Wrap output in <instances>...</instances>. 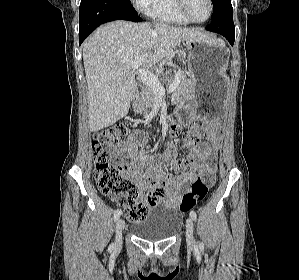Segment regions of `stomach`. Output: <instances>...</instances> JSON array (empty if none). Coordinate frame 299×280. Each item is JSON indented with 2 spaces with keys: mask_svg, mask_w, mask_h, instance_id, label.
<instances>
[{
  "mask_svg": "<svg viewBox=\"0 0 299 280\" xmlns=\"http://www.w3.org/2000/svg\"><path fill=\"white\" fill-rule=\"evenodd\" d=\"M188 92L190 110L187 118L221 116L225 112L226 79L229 50L224 42L214 37L187 40Z\"/></svg>",
  "mask_w": 299,
  "mask_h": 280,
  "instance_id": "1",
  "label": "stomach"
}]
</instances>
